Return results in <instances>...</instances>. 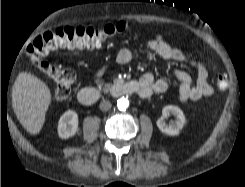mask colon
Returning a JSON list of instances; mask_svg holds the SVG:
<instances>
[{
    "instance_id": "obj_1",
    "label": "colon",
    "mask_w": 245,
    "mask_h": 187,
    "mask_svg": "<svg viewBox=\"0 0 245 187\" xmlns=\"http://www.w3.org/2000/svg\"><path fill=\"white\" fill-rule=\"evenodd\" d=\"M126 24L118 22L108 24L103 28L92 27H61L48 31L37 37L26 49L27 56L33 65L44 75L51 78L55 84L54 98L64 100L71 93V86L75 80L72 69L47 62L44 57L59 48H97L108 38L125 30ZM217 87L224 91L228 87L227 79L223 75L217 78Z\"/></svg>"
}]
</instances>
